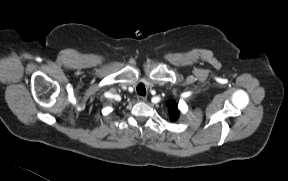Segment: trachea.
Segmentation results:
<instances>
[{
  "mask_svg": "<svg viewBox=\"0 0 288 181\" xmlns=\"http://www.w3.org/2000/svg\"><path fill=\"white\" fill-rule=\"evenodd\" d=\"M137 93L141 96H145L146 95V88L144 86L143 83H139L137 86Z\"/></svg>",
  "mask_w": 288,
  "mask_h": 181,
  "instance_id": "obj_1",
  "label": "trachea"
}]
</instances>
